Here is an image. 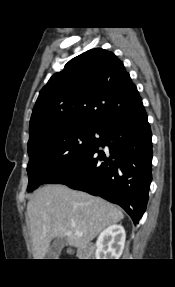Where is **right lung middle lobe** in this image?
I'll return each instance as SVG.
<instances>
[{
    "label": "right lung middle lobe",
    "instance_id": "dd1d6c3e",
    "mask_svg": "<svg viewBox=\"0 0 175 287\" xmlns=\"http://www.w3.org/2000/svg\"><path fill=\"white\" fill-rule=\"evenodd\" d=\"M99 125H83L63 130L28 144V192L65 173L82 161L99 141Z\"/></svg>",
    "mask_w": 175,
    "mask_h": 287
}]
</instances>
